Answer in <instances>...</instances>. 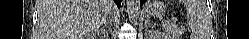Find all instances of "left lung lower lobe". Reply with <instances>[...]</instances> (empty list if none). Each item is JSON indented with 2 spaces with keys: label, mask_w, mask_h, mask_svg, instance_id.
Here are the masks:
<instances>
[{
  "label": "left lung lower lobe",
  "mask_w": 249,
  "mask_h": 39,
  "mask_svg": "<svg viewBox=\"0 0 249 39\" xmlns=\"http://www.w3.org/2000/svg\"><path fill=\"white\" fill-rule=\"evenodd\" d=\"M144 2H145V0H141V6L143 5Z\"/></svg>",
  "instance_id": "obj_1"
}]
</instances>
